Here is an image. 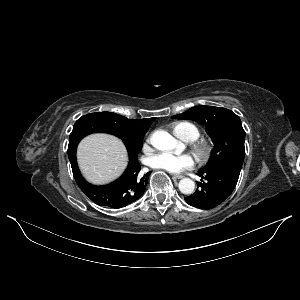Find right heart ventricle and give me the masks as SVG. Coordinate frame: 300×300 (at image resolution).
<instances>
[{
  "label": "right heart ventricle",
  "instance_id": "obj_1",
  "mask_svg": "<svg viewBox=\"0 0 300 300\" xmlns=\"http://www.w3.org/2000/svg\"><path fill=\"white\" fill-rule=\"evenodd\" d=\"M174 132L180 138L186 141H194L199 135V129L192 123L189 122H180L174 126Z\"/></svg>",
  "mask_w": 300,
  "mask_h": 300
}]
</instances>
